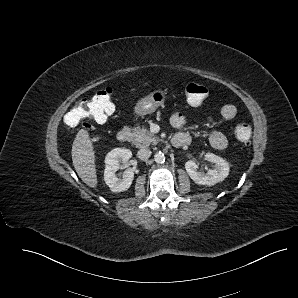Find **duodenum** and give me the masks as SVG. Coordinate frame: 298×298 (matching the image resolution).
Masks as SVG:
<instances>
[{
    "label": "duodenum",
    "mask_w": 298,
    "mask_h": 298,
    "mask_svg": "<svg viewBox=\"0 0 298 298\" xmlns=\"http://www.w3.org/2000/svg\"><path fill=\"white\" fill-rule=\"evenodd\" d=\"M131 137L130 130L128 128H123L117 133V139L121 143L129 142ZM191 138L185 133H177L172 137V144L177 148H182L189 145Z\"/></svg>",
    "instance_id": "obj_1"
}]
</instances>
